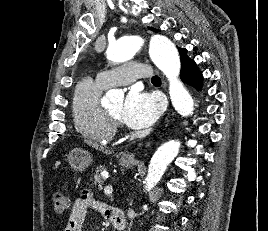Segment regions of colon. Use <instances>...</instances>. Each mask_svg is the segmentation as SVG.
<instances>
[{
  "mask_svg": "<svg viewBox=\"0 0 268 231\" xmlns=\"http://www.w3.org/2000/svg\"><path fill=\"white\" fill-rule=\"evenodd\" d=\"M52 199L55 205V209L57 211H65L70 206V200L68 196L60 190H56L53 192Z\"/></svg>",
  "mask_w": 268,
  "mask_h": 231,
  "instance_id": "1",
  "label": "colon"
}]
</instances>
